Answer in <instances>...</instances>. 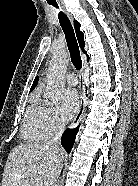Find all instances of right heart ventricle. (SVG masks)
I'll return each mask as SVG.
<instances>
[{
  "instance_id": "e07e8e85",
  "label": "right heart ventricle",
  "mask_w": 138,
  "mask_h": 186,
  "mask_svg": "<svg viewBox=\"0 0 138 186\" xmlns=\"http://www.w3.org/2000/svg\"><path fill=\"white\" fill-rule=\"evenodd\" d=\"M47 109L39 93H34L21 127V135L26 141H41L50 136L45 123Z\"/></svg>"
}]
</instances>
